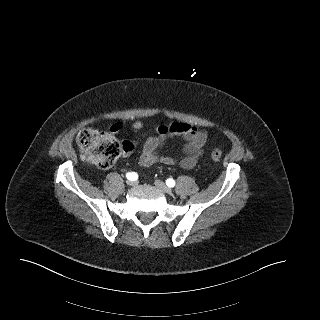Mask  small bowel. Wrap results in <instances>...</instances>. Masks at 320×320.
Here are the masks:
<instances>
[{
	"mask_svg": "<svg viewBox=\"0 0 320 320\" xmlns=\"http://www.w3.org/2000/svg\"><path fill=\"white\" fill-rule=\"evenodd\" d=\"M143 122L135 121L132 124V130L135 133L146 136L142 153L139 157V164L143 167H150L156 163H162L165 165H173L178 163L183 169H192L196 166L199 158L202 156L204 149L208 145V135L204 130L197 129L186 123H171L160 125L156 129V135L147 136L143 132ZM111 130L115 133L120 131V125L114 124ZM178 136L184 140L182 147V157L177 158L174 156L161 155L159 150L164 142L170 138ZM122 143H128L131 147L132 144L129 141H123ZM131 151V150H130ZM130 151H125L124 154L128 155Z\"/></svg>",
	"mask_w": 320,
	"mask_h": 320,
	"instance_id": "small-bowel-1",
	"label": "small bowel"
}]
</instances>
